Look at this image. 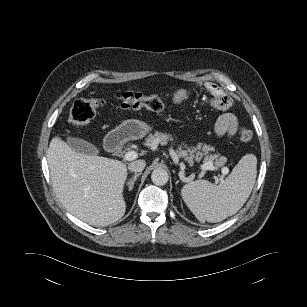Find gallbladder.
<instances>
[{"label": "gallbladder", "instance_id": "1", "mask_svg": "<svg viewBox=\"0 0 307 307\" xmlns=\"http://www.w3.org/2000/svg\"><path fill=\"white\" fill-rule=\"evenodd\" d=\"M67 143L76 152L82 154L96 155L99 153L98 148L94 144L81 138L67 137Z\"/></svg>", "mask_w": 307, "mask_h": 307}]
</instances>
